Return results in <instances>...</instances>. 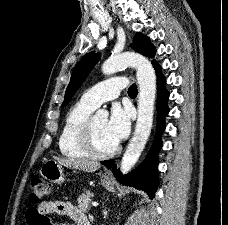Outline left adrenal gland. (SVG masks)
<instances>
[{
  "label": "left adrenal gland",
  "instance_id": "a2214340",
  "mask_svg": "<svg viewBox=\"0 0 228 225\" xmlns=\"http://www.w3.org/2000/svg\"><path fill=\"white\" fill-rule=\"evenodd\" d=\"M102 213H103V219H106L107 213H108V211L106 209V205H103V211H102Z\"/></svg>",
  "mask_w": 228,
  "mask_h": 225
}]
</instances>
